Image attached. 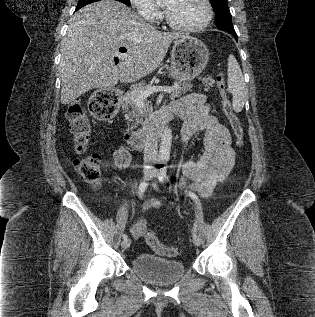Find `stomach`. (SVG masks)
Segmentation results:
<instances>
[{"label": "stomach", "instance_id": "stomach-1", "mask_svg": "<svg viewBox=\"0 0 315 317\" xmlns=\"http://www.w3.org/2000/svg\"><path fill=\"white\" fill-rule=\"evenodd\" d=\"M208 59L207 47L197 38L187 36L177 39L171 51L169 73L178 81H190L203 71Z\"/></svg>", "mask_w": 315, "mask_h": 317}]
</instances>
